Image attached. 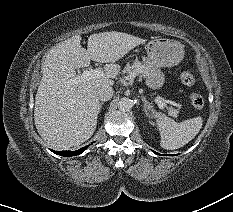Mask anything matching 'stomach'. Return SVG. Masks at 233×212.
Returning a JSON list of instances; mask_svg holds the SVG:
<instances>
[{
  "label": "stomach",
  "mask_w": 233,
  "mask_h": 212,
  "mask_svg": "<svg viewBox=\"0 0 233 212\" xmlns=\"http://www.w3.org/2000/svg\"><path fill=\"white\" fill-rule=\"evenodd\" d=\"M145 49L147 57L143 59V64L148 67V72L144 74L146 85L154 90L159 89L165 81L160 68L179 64L184 57L183 45L175 40L158 38L149 41Z\"/></svg>",
  "instance_id": "0dacf381"
}]
</instances>
